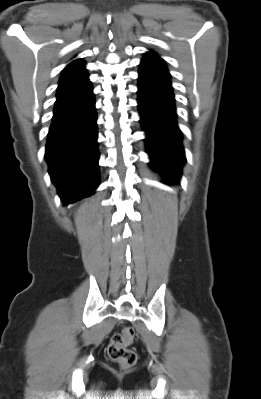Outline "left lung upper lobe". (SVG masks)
Returning <instances> with one entry per match:
<instances>
[{"label": "left lung upper lobe", "mask_w": 261, "mask_h": 399, "mask_svg": "<svg viewBox=\"0 0 261 399\" xmlns=\"http://www.w3.org/2000/svg\"><path fill=\"white\" fill-rule=\"evenodd\" d=\"M142 62H150V63H156V64L164 65L163 60L159 56H157L156 54H154L152 52L145 53V56L142 59Z\"/></svg>", "instance_id": "obj_1"}]
</instances>
